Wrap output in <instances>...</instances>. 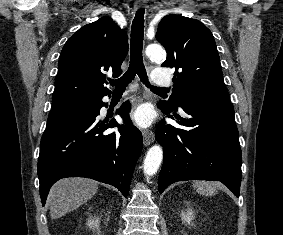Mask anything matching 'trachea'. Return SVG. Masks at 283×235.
Wrapping results in <instances>:
<instances>
[{
    "mask_svg": "<svg viewBox=\"0 0 283 235\" xmlns=\"http://www.w3.org/2000/svg\"><path fill=\"white\" fill-rule=\"evenodd\" d=\"M143 37L144 9H139L135 14L131 27L129 68L121 78L109 81L112 86H115V90H124L129 83H131L136 74L139 76L140 80L153 92L167 90L166 88L151 86L148 81L142 56Z\"/></svg>",
    "mask_w": 283,
    "mask_h": 235,
    "instance_id": "obj_1",
    "label": "trachea"
}]
</instances>
